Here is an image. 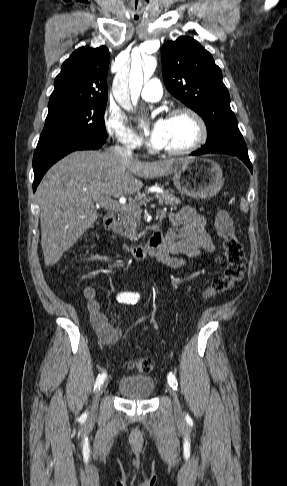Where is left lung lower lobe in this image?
Instances as JSON below:
<instances>
[{
  "label": "left lung lower lobe",
  "instance_id": "0a47b994",
  "mask_svg": "<svg viewBox=\"0 0 287 486\" xmlns=\"http://www.w3.org/2000/svg\"><path fill=\"white\" fill-rule=\"evenodd\" d=\"M207 153L208 152H205L203 150H197L195 152H192L191 155H202V154H207ZM234 156H237L238 158H240L248 166V168L252 172V165H251V162L249 160L248 155H234Z\"/></svg>",
  "mask_w": 287,
  "mask_h": 486
}]
</instances>
